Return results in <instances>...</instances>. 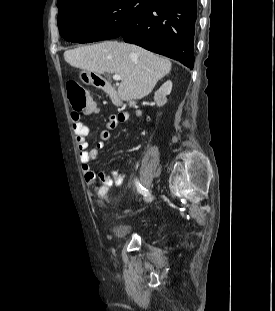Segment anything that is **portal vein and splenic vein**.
Returning <instances> with one entry per match:
<instances>
[{"instance_id": "obj_1", "label": "portal vein and splenic vein", "mask_w": 275, "mask_h": 311, "mask_svg": "<svg viewBox=\"0 0 275 311\" xmlns=\"http://www.w3.org/2000/svg\"><path fill=\"white\" fill-rule=\"evenodd\" d=\"M112 78H113L115 81H120V80L122 79V77H121L120 75H118V74H114V75L112 76Z\"/></svg>"}]
</instances>
